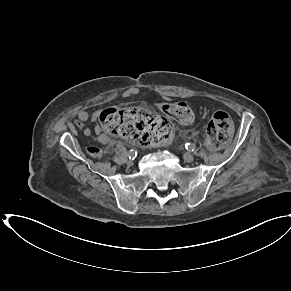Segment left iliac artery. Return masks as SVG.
<instances>
[{
    "label": "left iliac artery",
    "mask_w": 291,
    "mask_h": 291,
    "mask_svg": "<svg viewBox=\"0 0 291 291\" xmlns=\"http://www.w3.org/2000/svg\"><path fill=\"white\" fill-rule=\"evenodd\" d=\"M185 148L189 151H193L195 149V145L194 144H190V143H186L185 144Z\"/></svg>",
    "instance_id": "44dca946"
}]
</instances>
